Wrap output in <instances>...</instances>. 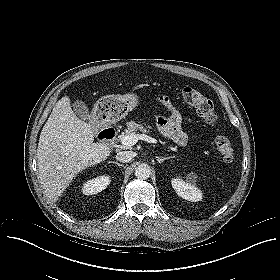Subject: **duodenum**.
Here are the masks:
<instances>
[{
	"label": "duodenum",
	"mask_w": 280,
	"mask_h": 280,
	"mask_svg": "<svg viewBox=\"0 0 280 280\" xmlns=\"http://www.w3.org/2000/svg\"><path fill=\"white\" fill-rule=\"evenodd\" d=\"M105 136L108 138L110 141H114L116 139L117 133L116 130L113 127H109L105 131Z\"/></svg>",
	"instance_id": "1"
}]
</instances>
